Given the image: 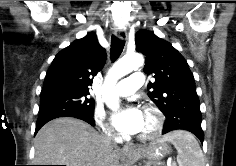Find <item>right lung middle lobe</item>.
I'll return each mask as SVG.
<instances>
[{
  "instance_id": "right-lung-middle-lobe-1",
  "label": "right lung middle lobe",
  "mask_w": 236,
  "mask_h": 166,
  "mask_svg": "<svg viewBox=\"0 0 236 166\" xmlns=\"http://www.w3.org/2000/svg\"><path fill=\"white\" fill-rule=\"evenodd\" d=\"M89 92L69 88L55 87L41 93L39 117L67 110H81L94 114V100L88 97Z\"/></svg>"
}]
</instances>
